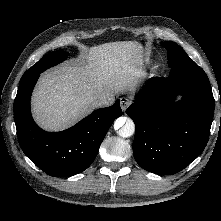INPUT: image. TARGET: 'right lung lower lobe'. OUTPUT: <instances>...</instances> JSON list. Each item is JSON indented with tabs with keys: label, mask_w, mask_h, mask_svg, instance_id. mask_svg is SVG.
<instances>
[{
	"label": "right lung lower lobe",
	"mask_w": 221,
	"mask_h": 221,
	"mask_svg": "<svg viewBox=\"0 0 221 221\" xmlns=\"http://www.w3.org/2000/svg\"><path fill=\"white\" fill-rule=\"evenodd\" d=\"M40 73L20 80L14 100V118L19 144L25 155L53 177H66L87 169L113 121L122 115L119 100L94 111L75 126L61 132H46L30 112L32 90Z\"/></svg>",
	"instance_id": "right-lung-lower-lobe-1"
}]
</instances>
